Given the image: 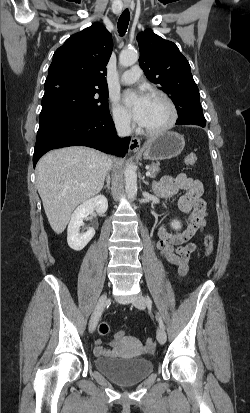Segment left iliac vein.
Instances as JSON below:
<instances>
[{
  "label": "left iliac vein",
  "instance_id": "obj_1",
  "mask_svg": "<svg viewBox=\"0 0 250 413\" xmlns=\"http://www.w3.org/2000/svg\"><path fill=\"white\" fill-rule=\"evenodd\" d=\"M134 306L138 309H144L147 306V301L143 295H138L135 301L133 302ZM167 336L163 328L159 327L157 330V340L160 344L166 342Z\"/></svg>",
  "mask_w": 250,
  "mask_h": 413
}]
</instances>
